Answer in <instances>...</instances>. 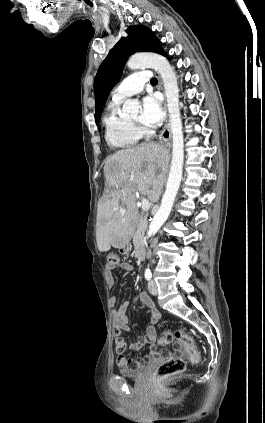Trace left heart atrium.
Returning a JSON list of instances; mask_svg holds the SVG:
<instances>
[{
  "mask_svg": "<svg viewBox=\"0 0 265 423\" xmlns=\"http://www.w3.org/2000/svg\"><path fill=\"white\" fill-rule=\"evenodd\" d=\"M163 117L164 111L160 99L154 94L145 96L142 100V123L148 127H155L163 120Z\"/></svg>",
  "mask_w": 265,
  "mask_h": 423,
  "instance_id": "left-heart-atrium-1",
  "label": "left heart atrium"
}]
</instances>
